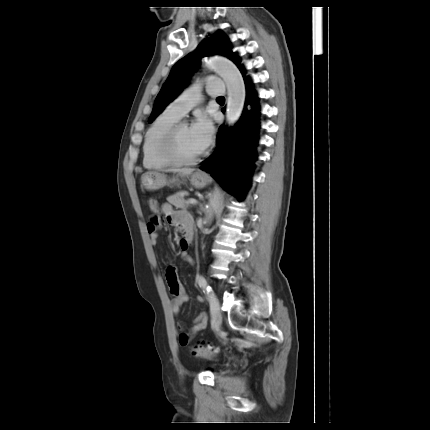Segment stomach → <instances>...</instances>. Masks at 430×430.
Listing matches in <instances>:
<instances>
[{
    "mask_svg": "<svg viewBox=\"0 0 430 430\" xmlns=\"http://www.w3.org/2000/svg\"><path fill=\"white\" fill-rule=\"evenodd\" d=\"M208 177L202 172H195L190 177V182L195 188H203L207 183ZM178 179L172 178L170 183H176ZM168 183L166 175L158 171L147 172L142 175V186L146 190H157Z\"/></svg>",
    "mask_w": 430,
    "mask_h": 430,
    "instance_id": "1",
    "label": "stomach"
}]
</instances>
